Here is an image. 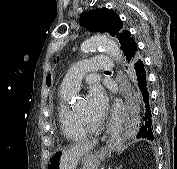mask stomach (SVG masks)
<instances>
[{
	"label": "stomach",
	"instance_id": "stomach-1",
	"mask_svg": "<svg viewBox=\"0 0 177 169\" xmlns=\"http://www.w3.org/2000/svg\"><path fill=\"white\" fill-rule=\"evenodd\" d=\"M107 154V148H101L98 151H95L94 153L87 154L82 159L81 169H98ZM60 157V153L54 154L48 164V169H58Z\"/></svg>",
	"mask_w": 177,
	"mask_h": 169
}]
</instances>
